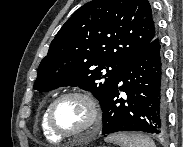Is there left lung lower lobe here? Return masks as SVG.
<instances>
[{
    "label": "left lung lower lobe",
    "mask_w": 183,
    "mask_h": 147,
    "mask_svg": "<svg viewBox=\"0 0 183 147\" xmlns=\"http://www.w3.org/2000/svg\"><path fill=\"white\" fill-rule=\"evenodd\" d=\"M163 87L161 46L156 36L126 62L115 80L102 106V134L119 131L164 134ZM120 91L125 92L124 98H119Z\"/></svg>",
    "instance_id": "left-lung-lower-lobe-1"
}]
</instances>
